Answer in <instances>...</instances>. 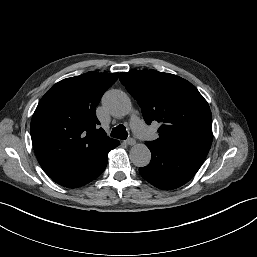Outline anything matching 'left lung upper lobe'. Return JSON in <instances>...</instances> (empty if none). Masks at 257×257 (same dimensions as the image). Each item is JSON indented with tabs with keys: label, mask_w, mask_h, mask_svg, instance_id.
<instances>
[{
	"label": "left lung upper lobe",
	"mask_w": 257,
	"mask_h": 257,
	"mask_svg": "<svg viewBox=\"0 0 257 257\" xmlns=\"http://www.w3.org/2000/svg\"><path fill=\"white\" fill-rule=\"evenodd\" d=\"M119 78L141 107L145 122L162 124L159 138L148 144L209 151L213 139L211 111L190 82L156 70L121 72Z\"/></svg>",
	"instance_id": "obj_1"
}]
</instances>
